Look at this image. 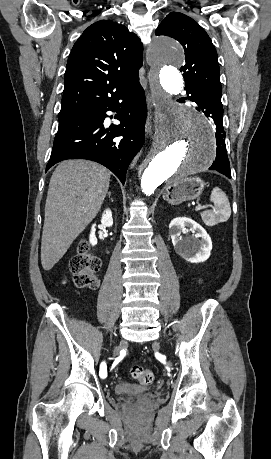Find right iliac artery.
<instances>
[{
  "mask_svg": "<svg viewBox=\"0 0 271 459\" xmlns=\"http://www.w3.org/2000/svg\"><path fill=\"white\" fill-rule=\"evenodd\" d=\"M99 366H100V368H101V374H104V377H105V378H108V377H109V374L106 373V366H107L106 363L102 362V363H100Z\"/></svg>",
  "mask_w": 271,
  "mask_h": 459,
  "instance_id": "obj_1",
  "label": "right iliac artery"
}]
</instances>
